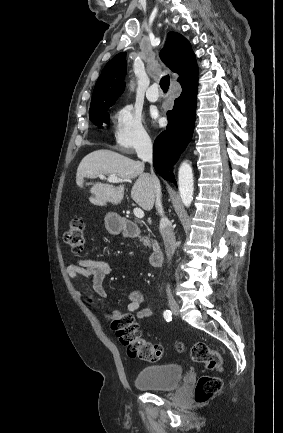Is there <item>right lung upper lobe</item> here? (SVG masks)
I'll use <instances>...</instances> for the list:
<instances>
[{"instance_id": "cb5924a9", "label": "right lung upper lobe", "mask_w": 283, "mask_h": 433, "mask_svg": "<svg viewBox=\"0 0 283 433\" xmlns=\"http://www.w3.org/2000/svg\"><path fill=\"white\" fill-rule=\"evenodd\" d=\"M163 62L180 77V84L198 76L195 54L189 41L179 33L169 32L165 48L160 53ZM126 53L121 52L103 69L94 88L90 112L114 105L124 91Z\"/></svg>"}]
</instances>
